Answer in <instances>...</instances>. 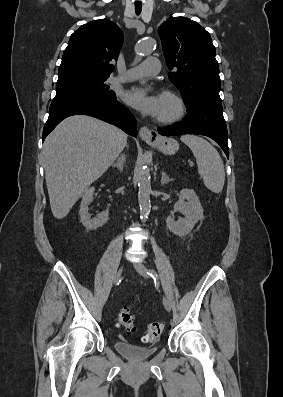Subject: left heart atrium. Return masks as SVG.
Instances as JSON below:
<instances>
[{
  "label": "left heart atrium",
  "mask_w": 283,
  "mask_h": 397,
  "mask_svg": "<svg viewBox=\"0 0 283 397\" xmlns=\"http://www.w3.org/2000/svg\"><path fill=\"white\" fill-rule=\"evenodd\" d=\"M124 101L143 114L157 117L160 110V96L148 94L143 88L135 86L123 93Z\"/></svg>",
  "instance_id": "left-heart-atrium-1"
}]
</instances>
